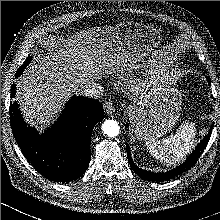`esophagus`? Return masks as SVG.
I'll list each match as a JSON object with an SVG mask.
<instances>
[{
    "mask_svg": "<svg viewBox=\"0 0 220 220\" xmlns=\"http://www.w3.org/2000/svg\"><path fill=\"white\" fill-rule=\"evenodd\" d=\"M103 107L107 115H112L115 112V106L111 100L105 101Z\"/></svg>",
    "mask_w": 220,
    "mask_h": 220,
    "instance_id": "esophagus-1",
    "label": "esophagus"
}]
</instances>
